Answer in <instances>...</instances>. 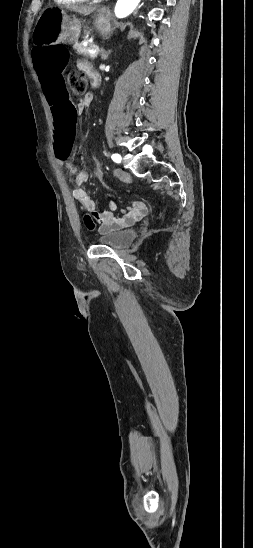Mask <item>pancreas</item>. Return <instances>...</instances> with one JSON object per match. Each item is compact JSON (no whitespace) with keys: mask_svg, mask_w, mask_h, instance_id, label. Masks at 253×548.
I'll return each instance as SVG.
<instances>
[{"mask_svg":"<svg viewBox=\"0 0 253 548\" xmlns=\"http://www.w3.org/2000/svg\"><path fill=\"white\" fill-rule=\"evenodd\" d=\"M91 48H94L95 46L94 45H90ZM74 49L76 51V53H78L79 55H83V56H86L90 59H94L96 56L94 57H91V54L89 52V50L83 45V44H76L74 46Z\"/></svg>","mask_w":253,"mask_h":548,"instance_id":"cf45deb5","label":"pancreas"}]
</instances>
